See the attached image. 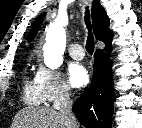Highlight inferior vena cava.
I'll return each mask as SVG.
<instances>
[{
	"mask_svg": "<svg viewBox=\"0 0 142 128\" xmlns=\"http://www.w3.org/2000/svg\"><path fill=\"white\" fill-rule=\"evenodd\" d=\"M59 113L65 119L68 128H78L77 120L72 112V105L68 92H63L59 98Z\"/></svg>",
	"mask_w": 142,
	"mask_h": 128,
	"instance_id": "602c4592",
	"label": "inferior vena cava"
}]
</instances>
